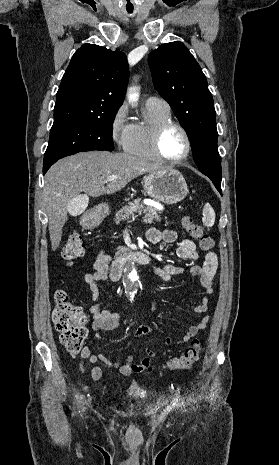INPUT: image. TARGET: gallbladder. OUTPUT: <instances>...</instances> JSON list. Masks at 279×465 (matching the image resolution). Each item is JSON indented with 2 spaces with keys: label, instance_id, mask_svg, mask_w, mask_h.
Listing matches in <instances>:
<instances>
[{
  "label": "gallbladder",
  "instance_id": "bac80fb5",
  "mask_svg": "<svg viewBox=\"0 0 279 465\" xmlns=\"http://www.w3.org/2000/svg\"><path fill=\"white\" fill-rule=\"evenodd\" d=\"M86 200L83 196H77L71 200L69 204L70 215L73 217L79 216L85 210Z\"/></svg>",
  "mask_w": 279,
  "mask_h": 465
}]
</instances>
